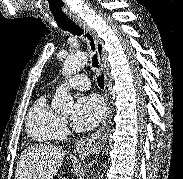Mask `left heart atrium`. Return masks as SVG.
<instances>
[{"label": "left heart atrium", "mask_w": 183, "mask_h": 179, "mask_svg": "<svg viewBox=\"0 0 183 179\" xmlns=\"http://www.w3.org/2000/svg\"><path fill=\"white\" fill-rule=\"evenodd\" d=\"M105 107L101 99L96 95L80 97L74 106L71 121L79 131L94 129L104 118Z\"/></svg>", "instance_id": "obj_1"}]
</instances>
